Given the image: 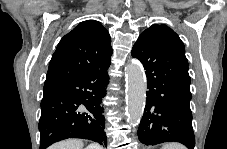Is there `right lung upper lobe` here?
I'll return each instance as SVG.
<instances>
[{
	"label": "right lung upper lobe",
	"mask_w": 227,
	"mask_h": 149,
	"mask_svg": "<svg viewBox=\"0 0 227 149\" xmlns=\"http://www.w3.org/2000/svg\"><path fill=\"white\" fill-rule=\"evenodd\" d=\"M108 31L95 20L81 22L59 42L53 54L44 90L98 69L110 61Z\"/></svg>",
	"instance_id": "obj_1"
}]
</instances>
